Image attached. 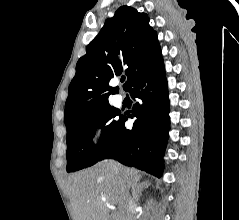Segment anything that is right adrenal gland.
<instances>
[{
  "mask_svg": "<svg viewBox=\"0 0 239 220\" xmlns=\"http://www.w3.org/2000/svg\"><path fill=\"white\" fill-rule=\"evenodd\" d=\"M150 185L148 182H141L132 188L133 198L137 201L139 196L144 188H147Z\"/></svg>",
  "mask_w": 239,
  "mask_h": 220,
  "instance_id": "obj_1",
  "label": "right adrenal gland"
}]
</instances>
